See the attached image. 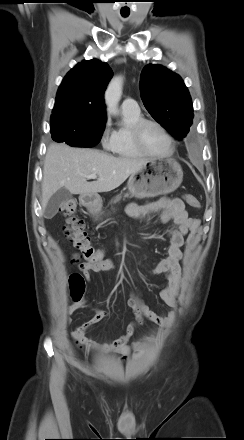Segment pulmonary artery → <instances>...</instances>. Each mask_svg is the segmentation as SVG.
Masks as SVG:
<instances>
[{"label":"pulmonary artery","instance_id":"obj_1","mask_svg":"<svg viewBox=\"0 0 244 440\" xmlns=\"http://www.w3.org/2000/svg\"><path fill=\"white\" fill-rule=\"evenodd\" d=\"M123 112L137 113L140 111L138 103L132 98H126L121 104Z\"/></svg>","mask_w":244,"mask_h":440}]
</instances>
